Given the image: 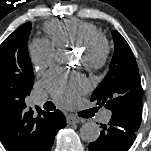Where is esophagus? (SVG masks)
Returning <instances> with one entry per match:
<instances>
[{
    "label": "esophagus",
    "instance_id": "1",
    "mask_svg": "<svg viewBox=\"0 0 151 151\" xmlns=\"http://www.w3.org/2000/svg\"><path fill=\"white\" fill-rule=\"evenodd\" d=\"M66 121H67L68 124L72 125V124L79 123L81 120L78 117L74 116V115H68L66 117Z\"/></svg>",
    "mask_w": 151,
    "mask_h": 151
}]
</instances>
